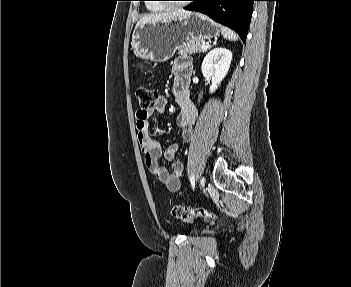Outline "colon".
Masks as SVG:
<instances>
[{"mask_svg":"<svg viewBox=\"0 0 351 287\" xmlns=\"http://www.w3.org/2000/svg\"><path fill=\"white\" fill-rule=\"evenodd\" d=\"M136 95L139 104L142 108H148L156 98L155 90L146 85L138 86ZM171 214L174 218L192 221L197 217L215 218V214L201 207H190L182 205H173L171 207Z\"/></svg>","mask_w":351,"mask_h":287,"instance_id":"obj_1","label":"colon"}]
</instances>
